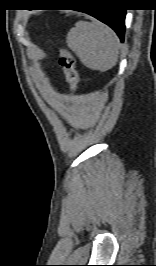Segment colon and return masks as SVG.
<instances>
[{
  "mask_svg": "<svg viewBox=\"0 0 156 266\" xmlns=\"http://www.w3.org/2000/svg\"><path fill=\"white\" fill-rule=\"evenodd\" d=\"M59 64L63 69L70 90L75 92L78 84V71L76 69L75 58L68 49H60Z\"/></svg>",
  "mask_w": 156,
  "mask_h": 266,
  "instance_id": "5ec220e1",
  "label": "colon"
}]
</instances>
